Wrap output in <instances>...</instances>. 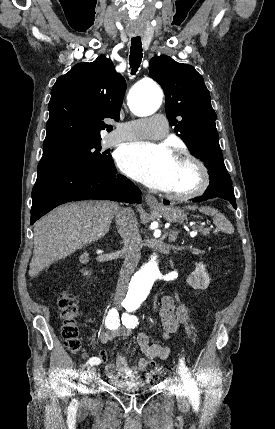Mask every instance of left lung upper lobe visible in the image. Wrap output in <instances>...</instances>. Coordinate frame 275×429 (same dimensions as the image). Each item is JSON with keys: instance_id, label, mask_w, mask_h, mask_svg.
<instances>
[{"instance_id": "1", "label": "left lung upper lobe", "mask_w": 275, "mask_h": 429, "mask_svg": "<svg viewBox=\"0 0 275 429\" xmlns=\"http://www.w3.org/2000/svg\"><path fill=\"white\" fill-rule=\"evenodd\" d=\"M149 75L165 93L166 115L174 131L208 169L210 183L232 184L224 165L216 129V113L203 77L188 64L166 55L150 60Z\"/></svg>"}]
</instances>
